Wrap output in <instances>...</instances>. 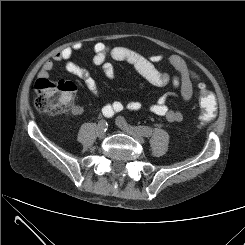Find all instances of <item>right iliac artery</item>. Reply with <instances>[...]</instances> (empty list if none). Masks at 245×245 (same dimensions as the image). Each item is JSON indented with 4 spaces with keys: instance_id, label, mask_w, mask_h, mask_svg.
Returning a JSON list of instances; mask_svg holds the SVG:
<instances>
[{
    "instance_id": "1",
    "label": "right iliac artery",
    "mask_w": 245,
    "mask_h": 245,
    "mask_svg": "<svg viewBox=\"0 0 245 245\" xmlns=\"http://www.w3.org/2000/svg\"><path fill=\"white\" fill-rule=\"evenodd\" d=\"M102 112H103V115L105 116V117H109L110 115L108 114V113H106L105 111H103L102 110ZM99 125H101L102 127H104V130L106 131L107 129V122L105 121V120H100V122H99Z\"/></svg>"
}]
</instances>
